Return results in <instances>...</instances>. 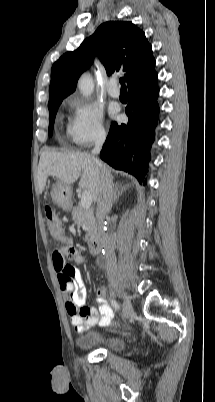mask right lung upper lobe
I'll return each mask as SVG.
<instances>
[{
  "instance_id": "cb5924a9",
  "label": "right lung upper lobe",
  "mask_w": 215,
  "mask_h": 402,
  "mask_svg": "<svg viewBox=\"0 0 215 402\" xmlns=\"http://www.w3.org/2000/svg\"><path fill=\"white\" fill-rule=\"evenodd\" d=\"M99 56L107 75L124 72L130 88L157 73L152 47L132 22L109 21L85 39L78 49L65 53L51 69L49 103L75 91L78 78Z\"/></svg>"
}]
</instances>
